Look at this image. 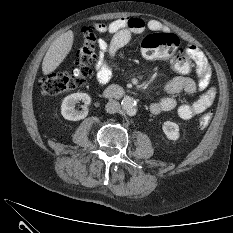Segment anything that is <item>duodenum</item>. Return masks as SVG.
Masks as SVG:
<instances>
[{
  "label": "duodenum",
  "instance_id": "obj_1",
  "mask_svg": "<svg viewBox=\"0 0 233 233\" xmlns=\"http://www.w3.org/2000/svg\"><path fill=\"white\" fill-rule=\"evenodd\" d=\"M123 94H124V90L118 86H111L107 88L103 93L104 97L108 99L119 98Z\"/></svg>",
  "mask_w": 233,
  "mask_h": 233
}]
</instances>
